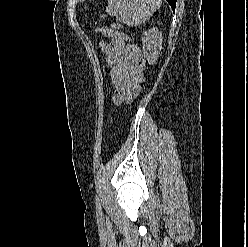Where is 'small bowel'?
Segmentation results:
<instances>
[{
    "instance_id": "c3829d8e",
    "label": "small bowel",
    "mask_w": 248,
    "mask_h": 247,
    "mask_svg": "<svg viewBox=\"0 0 248 247\" xmlns=\"http://www.w3.org/2000/svg\"><path fill=\"white\" fill-rule=\"evenodd\" d=\"M100 47L109 67L113 104L131 101L140 93L143 79V71L136 66L137 47L117 39L102 41Z\"/></svg>"
}]
</instances>
